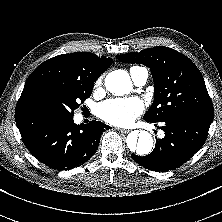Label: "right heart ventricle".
Returning a JSON list of instances; mask_svg holds the SVG:
<instances>
[{
	"instance_id": "e07e8e85",
	"label": "right heart ventricle",
	"mask_w": 222,
	"mask_h": 222,
	"mask_svg": "<svg viewBox=\"0 0 222 222\" xmlns=\"http://www.w3.org/2000/svg\"><path fill=\"white\" fill-rule=\"evenodd\" d=\"M140 69H141V67H136V66L131 67V68H130V73H131V75H132V73H134V72H136V71H138V70H140Z\"/></svg>"
}]
</instances>
